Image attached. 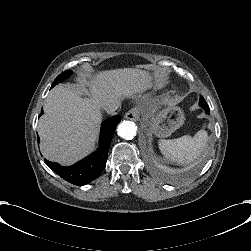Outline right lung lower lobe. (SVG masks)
<instances>
[{
  "instance_id": "98d812e1",
  "label": "right lung lower lobe",
  "mask_w": 251,
  "mask_h": 251,
  "mask_svg": "<svg viewBox=\"0 0 251 251\" xmlns=\"http://www.w3.org/2000/svg\"><path fill=\"white\" fill-rule=\"evenodd\" d=\"M120 121L121 117L117 115L106 119L102 123L99 149L79 163L70 167H63L58 163L50 162L46 159L44 162L52 171L74 185L81 186L90 183L100 175L106 166L109 146Z\"/></svg>"
}]
</instances>
